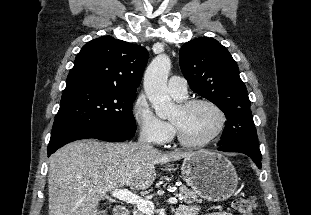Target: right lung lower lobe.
Segmentation results:
<instances>
[{"label": "right lung lower lobe", "instance_id": "right-lung-lower-lobe-1", "mask_svg": "<svg viewBox=\"0 0 311 215\" xmlns=\"http://www.w3.org/2000/svg\"><path fill=\"white\" fill-rule=\"evenodd\" d=\"M136 130H116L97 128L67 129L52 133L48 144V156L63 145L86 138H95L110 142H122L131 139Z\"/></svg>", "mask_w": 311, "mask_h": 215}]
</instances>
